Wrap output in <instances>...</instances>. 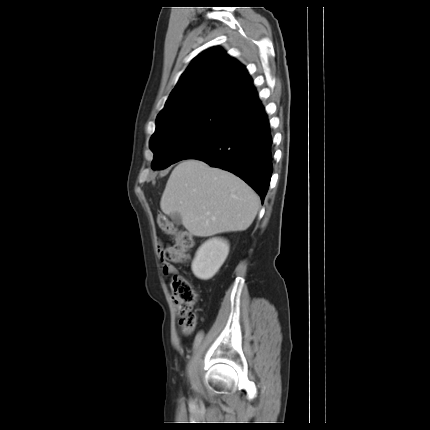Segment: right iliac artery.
<instances>
[{
  "label": "right iliac artery",
  "mask_w": 430,
  "mask_h": 430,
  "mask_svg": "<svg viewBox=\"0 0 430 430\" xmlns=\"http://www.w3.org/2000/svg\"><path fill=\"white\" fill-rule=\"evenodd\" d=\"M202 337H203V334H202V333H199V334L196 336V339H195V342H194V347L198 346V344L200 343V341H201Z\"/></svg>",
  "instance_id": "1"
}]
</instances>
